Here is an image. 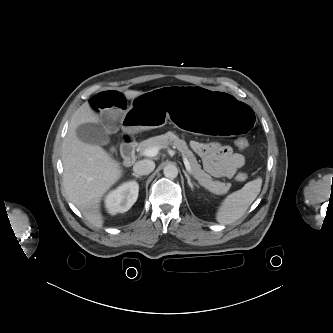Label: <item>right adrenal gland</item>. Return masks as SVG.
Masks as SVG:
<instances>
[{
  "instance_id": "2a0ac1e0",
  "label": "right adrenal gland",
  "mask_w": 333,
  "mask_h": 333,
  "mask_svg": "<svg viewBox=\"0 0 333 333\" xmlns=\"http://www.w3.org/2000/svg\"><path fill=\"white\" fill-rule=\"evenodd\" d=\"M132 175H133L134 177H136V178L142 179L141 176H139V175H137V174H135V173H132Z\"/></svg>"
}]
</instances>
